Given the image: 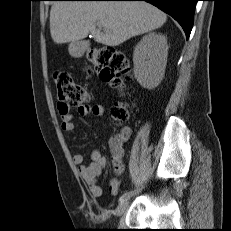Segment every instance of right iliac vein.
Instances as JSON below:
<instances>
[{"instance_id": "obj_1", "label": "right iliac vein", "mask_w": 231, "mask_h": 231, "mask_svg": "<svg viewBox=\"0 0 231 231\" xmlns=\"http://www.w3.org/2000/svg\"><path fill=\"white\" fill-rule=\"evenodd\" d=\"M128 205H129V198L120 202L116 208V212H115L116 216H121L127 209Z\"/></svg>"}]
</instances>
